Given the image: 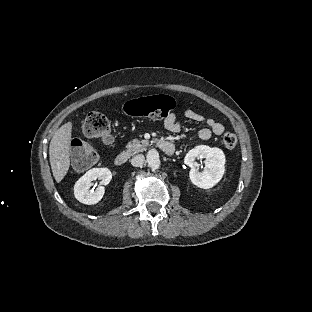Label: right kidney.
I'll return each mask as SVG.
<instances>
[{
    "mask_svg": "<svg viewBox=\"0 0 312 312\" xmlns=\"http://www.w3.org/2000/svg\"><path fill=\"white\" fill-rule=\"evenodd\" d=\"M99 179V186L93 190L90 188L94 185L92 181ZM112 179V173L108 168H93L87 171L74 185L75 198L87 205L98 203L105 192L101 185H107Z\"/></svg>",
    "mask_w": 312,
    "mask_h": 312,
    "instance_id": "1",
    "label": "right kidney"
}]
</instances>
